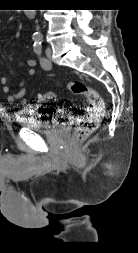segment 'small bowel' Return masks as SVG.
<instances>
[{"label": "small bowel", "instance_id": "small-bowel-1", "mask_svg": "<svg viewBox=\"0 0 138 253\" xmlns=\"http://www.w3.org/2000/svg\"><path fill=\"white\" fill-rule=\"evenodd\" d=\"M26 64L29 67V75L33 76L35 74V65L36 62L33 58H28L26 60ZM0 83L2 84V90L4 93L9 94L8 101L12 104H20V105H26L27 101L25 99V95L27 92V86L25 81H21L19 84V87L16 92H12L11 87L8 84V77L7 76H1L0 77Z\"/></svg>", "mask_w": 138, "mask_h": 253}]
</instances>
